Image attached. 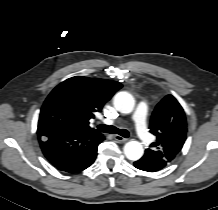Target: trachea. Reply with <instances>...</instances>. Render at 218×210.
<instances>
[{
  "mask_svg": "<svg viewBox=\"0 0 218 210\" xmlns=\"http://www.w3.org/2000/svg\"><path fill=\"white\" fill-rule=\"evenodd\" d=\"M98 130L103 133L119 134L124 138L129 137V132L126 129H118L114 126L98 125Z\"/></svg>",
  "mask_w": 218,
  "mask_h": 210,
  "instance_id": "obj_1",
  "label": "trachea"
}]
</instances>
